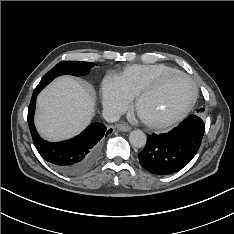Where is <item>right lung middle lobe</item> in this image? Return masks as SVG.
I'll use <instances>...</instances> for the list:
<instances>
[{
  "mask_svg": "<svg viewBox=\"0 0 234 234\" xmlns=\"http://www.w3.org/2000/svg\"><path fill=\"white\" fill-rule=\"evenodd\" d=\"M93 66L94 63L91 62L62 61L44 75L36 89L42 90L54 78L60 75L69 74L74 76H80L88 74L90 68Z\"/></svg>",
  "mask_w": 234,
  "mask_h": 234,
  "instance_id": "dd1d6c3e",
  "label": "right lung middle lobe"
}]
</instances>
